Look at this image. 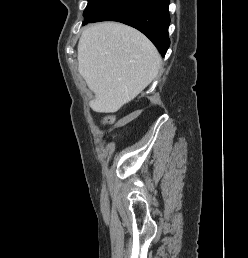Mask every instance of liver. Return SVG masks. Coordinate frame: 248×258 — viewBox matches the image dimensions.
<instances>
[{
	"instance_id": "liver-1",
	"label": "liver",
	"mask_w": 248,
	"mask_h": 258,
	"mask_svg": "<svg viewBox=\"0 0 248 258\" xmlns=\"http://www.w3.org/2000/svg\"><path fill=\"white\" fill-rule=\"evenodd\" d=\"M161 57L136 29L115 22L87 27L78 43V71L95 94L94 111L113 113L157 76Z\"/></svg>"
}]
</instances>
